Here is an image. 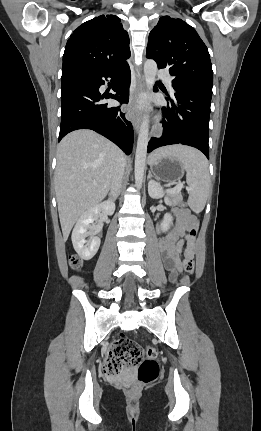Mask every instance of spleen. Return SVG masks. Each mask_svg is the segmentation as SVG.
<instances>
[{
  "label": "spleen",
  "mask_w": 261,
  "mask_h": 431,
  "mask_svg": "<svg viewBox=\"0 0 261 431\" xmlns=\"http://www.w3.org/2000/svg\"><path fill=\"white\" fill-rule=\"evenodd\" d=\"M162 157L174 158L180 162L186 171V182L189 186L188 205L194 212H201L205 207L210 187L208 162L205 156L191 147L173 145L153 152L149 163Z\"/></svg>",
  "instance_id": "obj_1"
}]
</instances>
